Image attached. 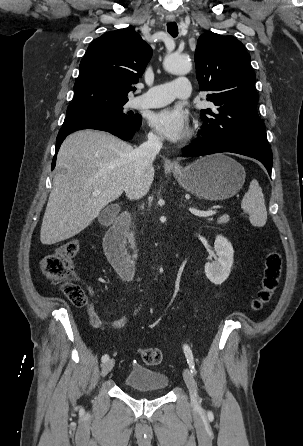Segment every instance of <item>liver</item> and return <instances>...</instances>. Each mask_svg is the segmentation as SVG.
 Instances as JSON below:
<instances>
[{"label": "liver", "mask_w": 303, "mask_h": 446, "mask_svg": "<svg viewBox=\"0 0 303 446\" xmlns=\"http://www.w3.org/2000/svg\"><path fill=\"white\" fill-rule=\"evenodd\" d=\"M134 148L104 132L84 130L62 143L56 173L40 231L42 244L67 240L88 227L123 192L129 199L144 196L153 181L154 167L136 176ZM101 189L100 194L92 193Z\"/></svg>", "instance_id": "1"}]
</instances>
